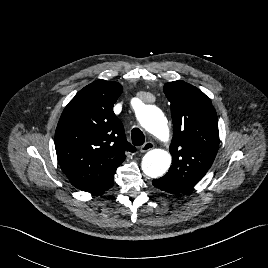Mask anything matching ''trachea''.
<instances>
[{"mask_svg":"<svg viewBox=\"0 0 268 268\" xmlns=\"http://www.w3.org/2000/svg\"><path fill=\"white\" fill-rule=\"evenodd\" d=\"M132 143L135 146H140L145 142V136L139 128H133L131 131Z\"/></svg>","mask_w":268,"mask_h":268,"instance_id":"trachea-1","label":"trachea"}]
</instances>
